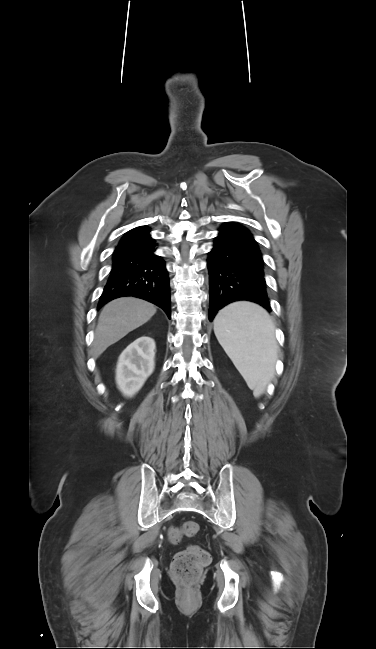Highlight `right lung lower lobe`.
<instances>
[{
	"label": "right lung lower lobe",
	"mask_w": 376,
	"mask_h": 649,
	"mask_svg": "<svg viewBox=\"0 0 376 649\" xmlns=\"http://www.w3.org/2000/svg\"><path fill=\"white\" fill-rule=\"evenodd\" d=\"M155 246L149 228L129 232L121 239L98 309L115 298L134 296L154 303L171 317L168 272L163 259L154 253Z\"/></svg>",
	"instance_id": "98d812e1"
}]
</instances>
